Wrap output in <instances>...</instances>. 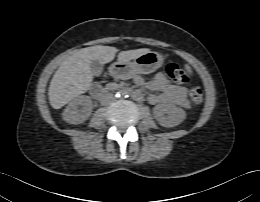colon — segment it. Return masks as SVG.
Masks as SVG:
<instances>
[{"label": "colon", "mask_w": 260, "mask_h": 202, "mask_svg": "<svg viewBox=\"0 0 260 202\" xmlns=\"http://www.w3.org/2000/svg\"><path fill=\"white\" fill-rule=\"evenodd\" d=\"M166 74L171 81L177 84H184L189 81L188 74L174 63H170L167 65ZM190 98L194 103H200L203 99L202 90L199 88L192 89L190 92Z\"/></svg>", "instance_id": "5ec220e1"}]
</instances>
